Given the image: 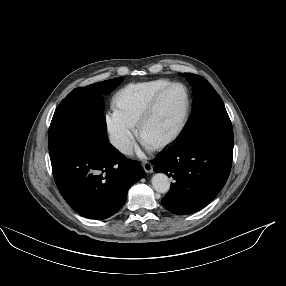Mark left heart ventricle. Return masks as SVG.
I'll use <instances>...</instances> for the list:
<instances>
[{
	"label": "left heart ventricle",
	"mask_w": 286,
	"mask_h": 286,
	"mask_svg": "<svg viewBox=\"0 0 286 286\" xmlns=\"http://www.w3.org/2000/svg\"><path fill=\"white\" fill-rule=\"evenodd\" d=\"M185 97L181 88L169 90L157 104L152 116L143 128V138L152 145L168 136L178 125Z\"/></svg>",
	"instance_id": "left-heart-ventricle-1"
}]
</instances>
